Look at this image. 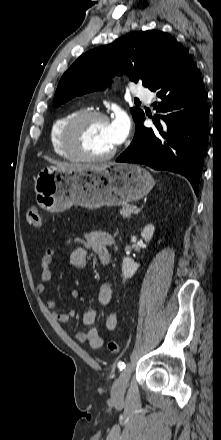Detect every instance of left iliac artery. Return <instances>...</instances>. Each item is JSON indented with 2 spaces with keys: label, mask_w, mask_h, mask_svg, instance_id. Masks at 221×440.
Wrapping results in <instances>:
<instances>
[{
  "label": "left iliac artery",
  "mask_w": 221,
  "mask_h": 440,
  "mask_svg": "<svg viewBox=\"0 0 221 440\" xmlns=\"http://www.w3.org/2000/svg\"><path fill=\"white\" fill-rule=\"evenodd\" d=\"M125 366H126V365H125L124 362H121V361H120V362L118 363V368H119L120 370H123V369L125 368Z\"/></svg>",
  "instance_id": "obj_1"
}]
</instances>
